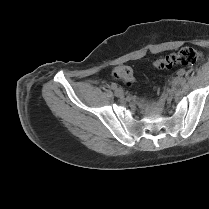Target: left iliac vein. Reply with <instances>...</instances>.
<instances>
[{
    "instance_id": "left-iliac-vein-1",
    "label": "left iliac vein",
    "mask_w": 209,
    "mask_h": 209,
    "mask_svg": "<svg viewBox=\"0 0 209 209\" xmlns=\"http://www.w3.org/2000/svg\"><path fill=\"white\" fill-rule=\"evenodd\" d=\"M181 77L180 76H177L176 78H174L172 81H171V84L174 86V87H177L178 85H180L178 83V80L180 79Z\"/></svg>"
}]
</instances>
